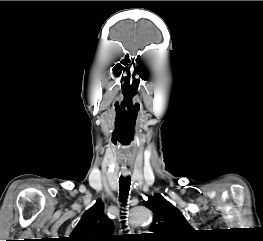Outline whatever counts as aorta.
Wrapping results in <instances>:
<instances>
[{
  "mask_svg": "<svg viewBox=\"0 0 263 241\" xmlns=\"http://www.w3.org/2000/svg\"><path fill=\"white\" fill-rule=\"evenodd\" d=\"M152 220L151 211L144 206H137L130 210L129 223L132 226L149 224Z\"/></svg>",
  "mask_w": 263,
  "mask_h": 241,
  "instance_id": "aorta-1",
  "label": "aorta"
}]
</instances>
